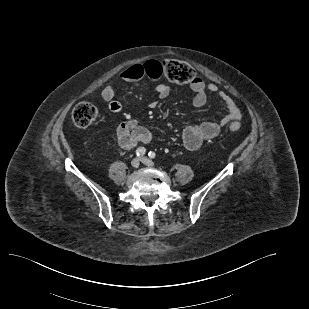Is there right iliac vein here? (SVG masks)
Returning <instances> with one entry per match:
<instances>
[{"instance_id":"1","label":"right iliac vein","mask_w":309,"mask_h":309,"mask_svg":"<svg viewBox=\"0 0 309 309\" xmlns=\"http://www.w3.org/2000/svg\"><path fill=\"white\" fill-rule=\"evenodd\" d=\"M140 165V159L139 158H134L132 161H131V166L133 168H138Z\"/></svg>"}]
</instances>
